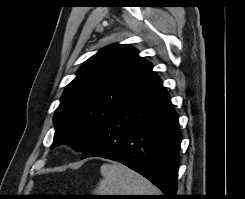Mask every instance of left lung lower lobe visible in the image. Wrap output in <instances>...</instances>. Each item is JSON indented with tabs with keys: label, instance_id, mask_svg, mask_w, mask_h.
Masks as SVG:
<instances>
[{
	"label": "left lung lower lobe",
	"instance_id": "left-lung-lower-lobe-1",
	"mask_svg": "<svg viewBox=\"0 0 245 199\" xmlns=\"http://www.w3.org/2000/svg\"><path fill=\"white\" fill-rule=\"evenodd\" d=\"M181 133L162 81L156 78L109 118L82 159L102 157L140 173L175 199Z\"/></svg>",
	"mask_w": 245,
	"mask_h": 199
}]
</instances>
